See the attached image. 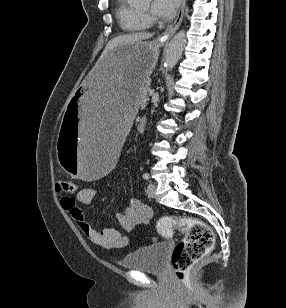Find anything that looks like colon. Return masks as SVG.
Listing matches in <instances>:
<instances>
[{
	"label": "colon",
	"instance_id": "colon-1",
	"mask_svg": "<svg viewBox=\"0 0 286 308\" xmlns=\"http://www.w3.org/2000/svg\"><path fill=\"white\" fill-rule=\"evenodd\" d=\"M76 184L70 180L61 179L56 183V191L72 198ZM159 233L170 238L175 229L184 233V238L176 245L172 254V268L177 279L182 284L188 282V271L203 258L214 245V233L203 221L187 216L163 217L158 221Z\"/></svg>",
	"mask_w": 286,
	"mask_h": 308
}]
</instances>
